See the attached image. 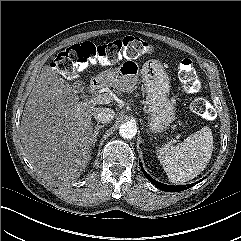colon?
<instances>
[{
    "label": "colon",
    "mask_w": 241,
    "mask_h": 241,
    "mask_svg": "<svg viewBox=\"0 0 241 241\" xmlns=\"http://www.w3.org/2000/svg\"><path fill=\"white\" fill-rule=\"evenodd\" d=\"M151 51L152 46L148 42L135 36H127L104 45L83 42L60 52L51 65L63 77L72 80L90 64L111 65L121 58L136 59ZM179 78L187 93L199 92L200 83L191 59L185 58L180 62ZM191 108L199 115H208L209 112L207 101L203 98H196Z\"/></svg>",
    "instance_id": "5ec220e1"
}]
</instances>
